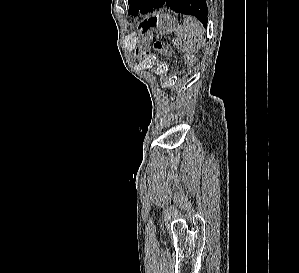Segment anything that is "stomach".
Masks as SVG:
<instances>
[{"label": "stomach", "mask_w": 299, "mask_h": 273, "mask_svg": "<svg viewBox=\"0 0 299 273\" xmlns=\"http://www.w3.org/2000/svg\"><path fill=\"white\" fill-rule=\"evenodd\" d=\"M176 19L169 14H155L142 21L139 27L143 28V32L148 34L159 32L160 34H168L176 29Z\"/></svg>", "instance_id": "1"}]
</instances>
